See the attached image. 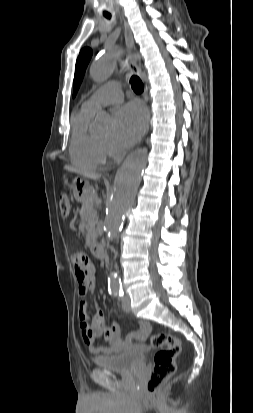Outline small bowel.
I'll list each match as a JSON object with an SVG mask.
<instances>
[{"label":"small bowel","mask_w":253,"mask_h":413,"mask_svg":"<svg viewBox=\"0 0 253 413\" xmlns=\"http://www.w3.org/2000/svg\"><path fill=\"white\" fill-rule=\"evenodd\" d=\"M72 261L75 266L78 293L84 297L88 290L95 289V268L80 251L73 254ZM78 317L83 340L93 354L116 353L132 345L144 343L151 332V326L145 321H140L136 330L123 335L115 321L106 324L104 310L99 305H96L95 314L90 320L87 303L84 300H81L78 305ZM99 337H104L109 346L97 345L95 341Z\"/></svg>","instance_id":"small-bowel-1"}]
</instances>
